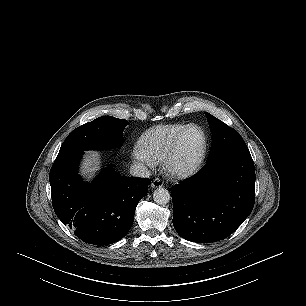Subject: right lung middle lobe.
<instances>
[{
	"instance_id": "right-lung-middle-lobe-1",
	"label": "right lung middle lobe",
	"mask_w": 306,
	"mask_h": 306,
	"mask_svg": "<svg viewBox=\"0 0 306 306\" xmlns=\"http://www.w3.org/2000/svg\"><path fill=\"white\" fill-rule=\"evenodd\" d=\"M128 122L112 116H102L74 129L63 142L55 162L85 150L120 147L123 130Z\"/></svg>"
}]
</instances>
